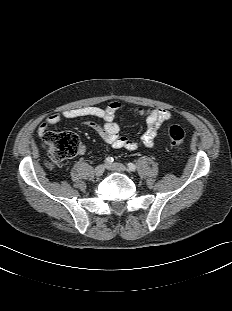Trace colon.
<instances>
[{"mask_svg": "<svg viewBox=\"0 0 232 311\" xmlns=\"http://www.w3.org/2000/svg\"><path fill=\"white\" fill-rule=\"evenodd\" d=\"M169 137L173 145L181 146L184 131L178 125L169 128ZM44 144L48 150V164L56 167L73 157L79 149V139L72 132H48L44 137Z\"/></svg>", "mask_w": 232, "mask_h": 311, "instance_id": "1", "label": "colon"}]
</instances>
